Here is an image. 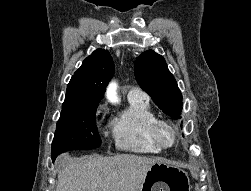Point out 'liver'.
<instances>
[{
	"label": "liver",
	"mask_w": 251,
	"mask_h": 191,
	"mask_svg": "<svg viewBox=\"0 0 251 191\" xmlns=\"http://www.w3.org/2000/svg\"><path fill=\"white\" fill-rule=\"evenodd\" d=\"M158 157L120 153L112 157L88 155L82 159L58 155L56 191H139Z\"/></svg>",
	"instance_id": "obj_1"
}]
</instances>
